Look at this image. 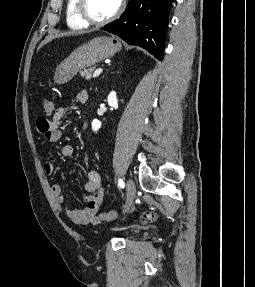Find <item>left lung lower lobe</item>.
I'll return each mask as SVG.
<instances>
[{
    "instance_id": "0a47b994",
    "label": "left lung lower lobe",
    "mask_w": 255,
    "mask_h": 287,
    "mask_svg": "<svg viewBox=\"0 0 255 287\" xmlns=\"http://www.w3.org/2000/svg\"><path fill=\"white\" fill-rule=\"evenodd\" d=\"M174 0H130L125 13L102 30L113 33L130 45L140 46L161 60Z\"/></svg>"
}]
</instances>
